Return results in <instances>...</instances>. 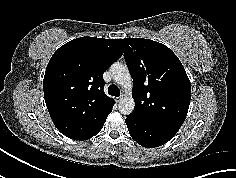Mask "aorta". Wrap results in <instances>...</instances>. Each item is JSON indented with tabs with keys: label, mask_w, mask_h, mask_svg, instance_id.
<instances>
[{
	"label": "aorta",
	"mask_w": 236,
	"mask_h": 178,
	"mask_svg": "<svg viewBox=\"0 0 236 178\" xmlns=\"http://www.w3.org/2000/svg\"><path fill=\"white\" fill-rule=\"evenodd\" d=\"M110 71L117 84L121 85L126 90H130L132 88V78L129 69L125 64L115 62L111 65ZM134 107L135 102L131 95L122 98L119 102V111L123 115L131 114Z\"/></svg>",
	"instance_id": "aorta-1"
}]
</instances>
